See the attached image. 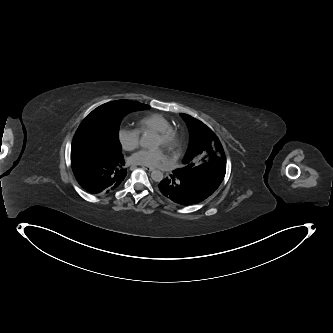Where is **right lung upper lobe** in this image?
<instances>
[{
  "instance_id": "cb5924a9",
  "label": "right lung upper lobe",
  "mask_w": 333,
  "mask_h": 333,
  "mask_svg": "<svg viewBox=\"0 0 333 333\" xmlns=\"http://www.w3.org/2000/svg\"><path fill=\"white\" fill-rule=\"evenodd\" d=\"M140 106V110H144V109H149L150 107L148 105H144L142 103H138Z\"/></svg>"
}]
</instances>
